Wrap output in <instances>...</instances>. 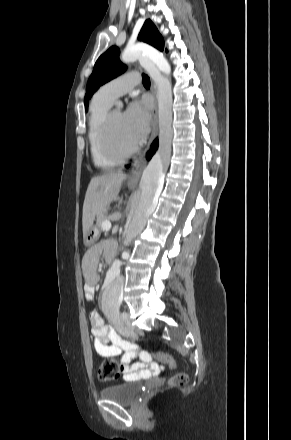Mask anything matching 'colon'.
Returning a JSON list of instances; mask_svg holds the SVG:
<instances>
[{"label":"colon","instance_id":"1","mask_svg":"<svg viewBox=\"0 0 291 440\" xmlns=\"http://www.w3.org/2000/svg\"><path fill=\"white\" fill-rule=\"evenodd\" d=\"M141 355L146 360L152 359V355L149 353L142 352ZM161 356L170 368L174 367V361L171 357L166 355H161ZM119 372H120V367L118 366L117 362L113 359H110L105 361L102 365L99 366L97 374L101 381L109 382L117 379ZM187 382H188V376L183 372L176 374L171 380L172 385L186 384Z\"/></svg>","mask_w":291,"mask_h":440}]
</instances>
